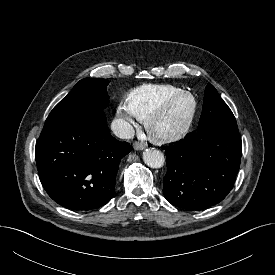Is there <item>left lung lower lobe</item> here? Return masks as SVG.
<instances>
[{
  "label": "left lung lower lobe",
  "instance_id": "obj_1",
  "mask_svg": "<svg viewBox=\"0 0 275 275\" xmlns=\"http://www.w3.org/2000/svg\"><path fill=\"white\" fill-rule=\"evenodd\" d=\"M162 149L167 156L163 194L172 205L205 209L221 202L233 188L242 154L239 134L194 132Z\"/></svg>",
  "mask_w": 275,
  "mask_h": 275
}]
</instances>
